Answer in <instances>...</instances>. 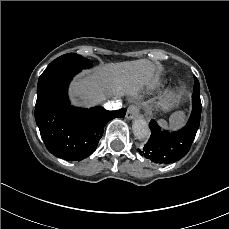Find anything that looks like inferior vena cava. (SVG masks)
I'll use <instances>...</instances> for the list:
<instances>
[{"instance_id": "inferior-vena-cava-1", "label": "inferior vena cava", "mask_w": 229, "mask_h": 229, "mask_svg": "<svg viewBox=\"0 0 229 229\" xmlns=\"http://www.w3.org/2000/svg\"><path fill=\"white\" fill-rule=\"evenodd\" d=\"M117 106L120 107V105L118 103H115L114 101H107L104 104V108L106 110H115Z\"/></svg>"}]
</instances>
